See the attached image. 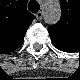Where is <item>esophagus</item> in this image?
Returning <instances> with one entry per match:
<instances>
[{
	"label": "esophagus",
	"instance_id": "34e87169",
	"mask_svg": "<svg viewBox=\"0 0 80 80\" xmlns=\"http://www.w3.org/2000/svg\"><path fill=\"white\" fill-rule=\"evenodd\" d=\"M42 16H43V13H42L41 11H39V12L36 14L37 20H41V19H42Z\"/></svg>",
	"mask_w": 80,
	"mask_h": 80
}]
</instances>
